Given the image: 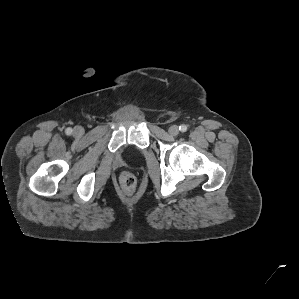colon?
<instances>
[{
	"label": "colon",
	"mask_w": 299,
	"mask_h": 299,
	"mask_svg": "<svg viewBox=\"0 0 299 299\" xmlns=\"http://www.w3.org/2000/svg\"><path fill=\"white\" fill-rule=\"evenodd\" d=\"M119 180L121 186L127 191H133L136 187V178L130 171H123Z\"/></svg>",
	"instance_id": "colon-1"
}]
</instances>
